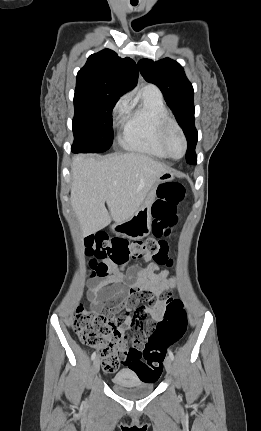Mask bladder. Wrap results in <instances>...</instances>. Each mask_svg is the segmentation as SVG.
Here are the masks:
<instances>
[{
    "label": "bladder",
    "instance_id": "31cf9c89",
    "mask_svg": "<svg viewBox=\"0 0 261 431\" xmlns=\"http://www.w3.org/2000/svg\"><path fill=\"white\" fill-rule=\"evenodd\" d=\"M112 388L122 397L137 399L152 393L154 384L141 379L132 370L122 369L112 378Z\"/></svg>",
    "mask_w": 261,
    "mask_h": 431
}]
</instances>
